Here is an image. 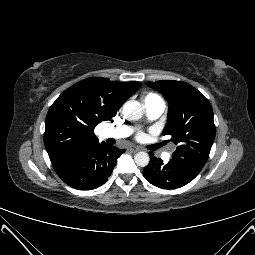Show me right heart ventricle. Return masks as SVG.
<instances>
[{"label":"right heart ventricle","mask_w":255,"mask_h":255,"mask_svg":"<svg viewBox=\"0 0 255 255\" xmlns=\"http://www.w3.org/2000/svg\"><path fill=\"white\" fill-rule=\"evenodd\" d=\"M157 99H160V97L155 93H147L143 97V101H144L145 105L149 104Z\"/></svg>","instance_id":"right-heart-ventricle-1"}]
</instances>
